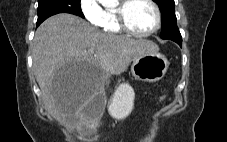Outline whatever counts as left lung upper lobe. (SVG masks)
<instances>
[{
    "mask_svg": "<svg viewBox=\"0 0 227 142\" xmlns=\"http://www.w3.org/2000/svg\"><path fill=\"white\" fill-rule=\"evenodd\" d=\"M155 2L161 11L162 32L160 37L182 43V37L177 27L174 0H155Z\"/></svg>",
    "mask_w": 227,
    "mask_h": 142,
    "instance_id": "5c2ea615",
    "label": "left lung upper lobe"
}]
</instances>
